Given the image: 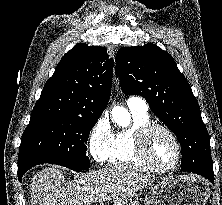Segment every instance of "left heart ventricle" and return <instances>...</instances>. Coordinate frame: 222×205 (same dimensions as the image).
Wrapping results in <instances>:
<instances>
[{"instance_id":"1","label":"left heart ventricle","mask_w":222,"mask_h":205,"mask_svg":"<svg viewBox=\"0 0 222 205\" xmlns=\"http://www.w3.org/2000/svg\"><path fill=\"white\" fill-rule=\"evenodd\" d=\"M147 149L152 159L161 166H170L176 159L175 144L162 130H154L149 134Z\"/></svg>"}]
</instances>
